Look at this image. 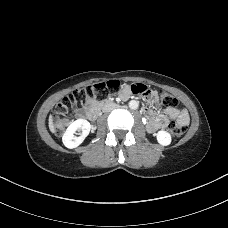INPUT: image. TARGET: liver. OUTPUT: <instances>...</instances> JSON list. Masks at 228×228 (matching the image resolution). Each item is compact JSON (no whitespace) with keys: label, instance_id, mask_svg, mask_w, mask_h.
Wrapping results in <instances>:
<instances>
[{"label":"liver","instance_id":"liver-1","mask_svg":"<svg viewBox=\"0 0 228 228\" xmlns=\"http://www.w3.org/2000/svg\"><path fill=\"white\" fill-rule=\"evenodd\" d=\"M49 129L52 133H54L55 131V128H54V125H53V120H52V116L49 117Z\"/></svg>","mask_w":228,"mask_h":228}]
</instances>
